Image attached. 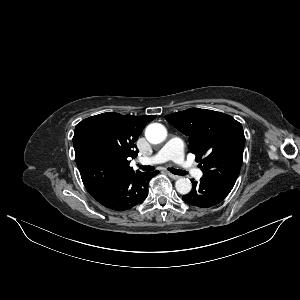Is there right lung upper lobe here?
Wrapping results in <instances>:
<instances>
[{
    "label": "right lung upper lobe",
    "mask_w": 300,
    "mask_h": 300,
    "mask_svg": "<svg viewBox=\"0 0 300 300\" xmlns=\"http://www.w3.org/2000/svg\"><path fill=\"white\" fill-rule=\"evenodd\" d=\"M155 117V115L133 116L107 112L84 119L76 125L75 131L89 129L94 132L112 162L115 172L113 180H116L135 172L129 166L130 158H135L139 152L135 141L146 123Z\"/></svg>",
    "instance_id": "cb5924a9"
}]
</instances>
